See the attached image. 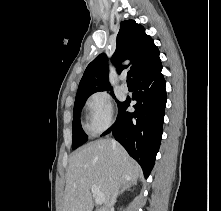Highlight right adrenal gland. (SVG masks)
Returning a JSON list of instances; mask_svg holds the SVG:
<instances>
[{"label":"right adrenal gland","mask_w":221,"mask_h":211,"mask_svg":"<svg viewBox=\"0 0 221 211\" xmlns=\"http://www.w3.org/2000/svg\"><path fill=\"white\" fill-rule=\"evenodd\" d=\"M135 182H131L129 185L127 186H123L119 191H118V195L123 194L126 190H129L130 186L134 185Z\"/></svg>","instance_id":"1"}]
</instances>
